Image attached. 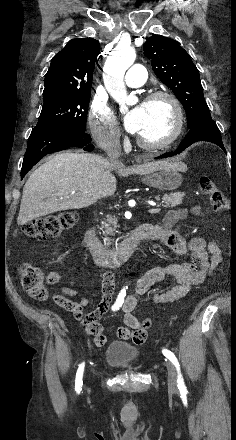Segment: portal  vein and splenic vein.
<instances>
[{"label": "portal vein and splenic vein", "mask_w": 236, "mask_h": 440, "mask_svg": "<svg viewBox=\"0 0 236 440\" xmlns=\"http://www.w3.org/2000/svg\"><path fill=\"white\" fill-rule=\"evenodd\" d=\"M160 211H161V208H158V207H153V208L148 209L149 213H158Z\"/></svg>", "instance_id": "18ae733b"}]
</instances>
